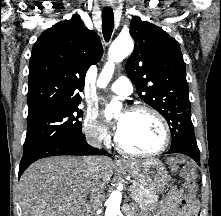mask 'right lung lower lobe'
I'll return each instance as SVG.
<instances>
[{
    "mask_svg": "<svg viewBox=\"0 0 221 216\" xmlns=\"http://www.w3.org/2000/svg\"><path fill=\"white\" fill-rule=\"evenodd\" d=\"M58 155H106L110 156L105 149H97L90 146L82 133L79 136L64 138L38 149H35L27 154H24L20 166L18 178L26 170V168L38 159L58 156Z\"/></svg>",
    "mask_w": 221,
    "mask_h": 216,
    "instance_id": "1",
    "label": "right lung lower lobe"
}]
</instances>
